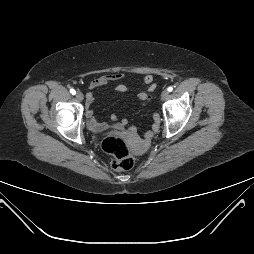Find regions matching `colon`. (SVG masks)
<instances>
[{"mask_svg":"<svg viewBox=\"0 0 254 254\" xmlns=\"http://www.w3.org/2000/svg\"><path fill=\"white\" fill-rule=\"evenodd\" d=\"M105 152L113 156L112 167L116 171L130 170L134 165V156L125 141L118 135H109L102 143Z\"/></svg>","mask_w":254,"mask_h":254,"instance_id":"1","label":"colon"}]
</instances>
